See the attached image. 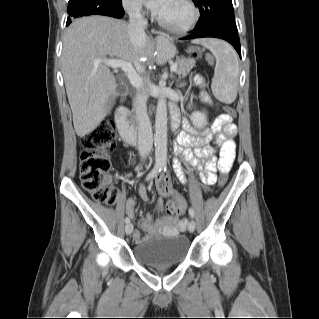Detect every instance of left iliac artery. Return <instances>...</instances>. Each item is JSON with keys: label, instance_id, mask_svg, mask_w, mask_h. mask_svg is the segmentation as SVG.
Masks as SVG:
<instances>
[{"label": "left iliac artery", "instance_id": "left-iliac-artery-1", "mask_svg": "<svg viewBox=\"0 0 319 319\" xmlns=\"http://www.w3.org/2000/svg\"><path fill=\"white\" fill-rule=\"evenodd\" d=\"M161 169L166 171V165L163 164V165L161 166ZM189 215H190L192 218H194V216H195V211H194L193 208H189Z\"/></svg>", "mask_w": 319, "mask_h": 319}]
</instances>
